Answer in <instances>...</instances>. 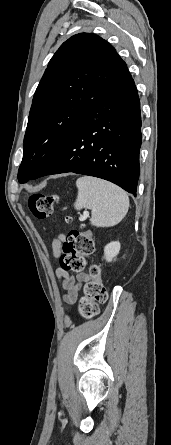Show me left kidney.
Wrapping results in <instances>:
<instances>
[{
  "label": "left kidney",
  "mask_w": 171,
  "mask_h": 445,
  "mask_svg": "<svg viewBox=\"0 0 171 445\" xmlns=\"http://www.w3.org/2000/svg\"><path fill=\"white\" fill-rule=\"evenodd\" d=\"M120 243L118 241H113L107 244L104 248V256L108 262H111L114 257H116L120 251Z\"/></svg>",
  "instance_id": "1"
}]
</instances>
